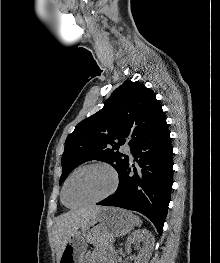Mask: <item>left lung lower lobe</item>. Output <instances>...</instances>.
Returning a JSON list of instances; mask_svg holds the SVG:
<instances>
[{"instance_id": "left-lung-lower-lobe-1", "label": "left lung lower lobe", "mask_w": 220, "mask_h": 263, "mask_svg": "<svg viewBox=\"0 0 220 263\" xmlns=\"http://www.w3.org/2000/svg\"><path fill=\"white\" fill-rule=\"evenodd\" d=\"M170 132L166 118L132 148L136 161L134 173L126 164L119 176L117 191L97 205L116 206L147 216L162 234L173 183V162Z\"/></svg>"}]
</instances>
